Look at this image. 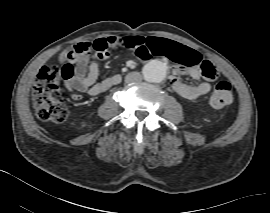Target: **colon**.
<instances>
[{"instance_id": "obj_1", "label": "colon", "mask_w": 270, "mask_h": 213, "mask_svg": "<svg viewBox=\"0 0 270 213\" xmlns=\"http://www.w3.org/2000/svg\"><path fill=\"white\" fill-rule=\"evenodd\" d=\"M122 45L132 50L137 57H140L141 52L147 47L146 40L138 36L124 38ZM77 54L78 51H70L68 56L73 57ZM201 70L205 78L216 79V68L209 61L202 63ZM73 75L74 70L69 63H64L61 66H42L37 71L32 88V101L41 120L60 123L68 117L69 111L64 102L59 83L63 79L72 78ZM232 100L230 83L227 81L218 82L211 96V105L214 108H222L230 105Z\"/></svg>"}]
</instances>
